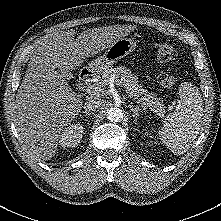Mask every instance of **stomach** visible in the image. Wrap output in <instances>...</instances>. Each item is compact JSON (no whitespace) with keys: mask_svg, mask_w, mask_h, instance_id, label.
<instances>
[{"mask_svg":"<svg viewBox=\"0 0 221 221\" xmlns=\"http://www.w3.org/2000/svg\"><path fill=\"white\" fill-rule=\"evenodd\" d=\"M136 48V42L130 38H121L111 44L105 53L95 60H92L88 69L91 72L101 74L112 67L118 60L126 57Z\"/></svg>","mask_w":221,"mask_h":221,"instance_id":"obj_1","label":"stomach"}]
</instances>
